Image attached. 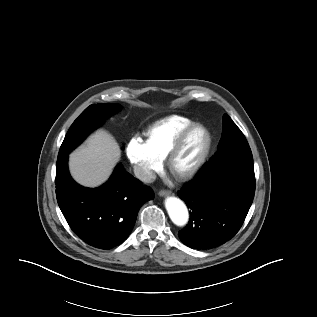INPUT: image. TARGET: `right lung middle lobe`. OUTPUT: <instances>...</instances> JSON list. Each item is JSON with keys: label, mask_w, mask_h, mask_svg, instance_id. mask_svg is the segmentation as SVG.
I'll list each match as a JSON object with an SVG mask.
<instances>
[{"label": "right lung middle lobe", "mask_w": 317, "mask_h": 317, "mask_svg": "<svg viewBox=\"0 0 317 317\" xmlns=\"http://www.w3.org/2000/svg\"><path fill=\"white\" fill-rule=\"evenodd\" d=\"M120 108V105L112 103L93 104L87 107L71 125L60 147L58 158L73 150L91 131L99 127L108 116Z\"/></svg>", "instance_id": "dd1d6c3e"}]
</instances>
